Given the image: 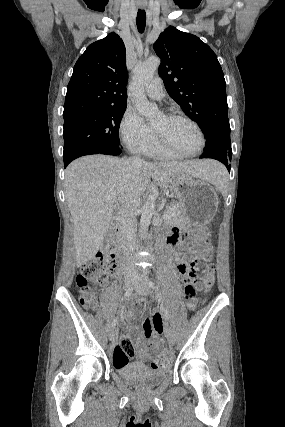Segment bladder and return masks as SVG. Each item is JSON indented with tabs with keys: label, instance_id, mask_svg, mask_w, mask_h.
<instances>
[{
	"label": "bladder",
	"instance_id": "1",
	"mask_svg": "<svg viewBox=\"0 0 285 427\" xmlns=\"http://www.w3.org/2000/svg\"><path fill=\"white\" fill-rule=\"evenodd\" d=\"M124 381L138 389H148L165 377L164 371H152L147 366L140 363H130L115 371Z\"/></svg>",
	"mask_w": 285,
	"mask_h": 427
}]
</instances>
